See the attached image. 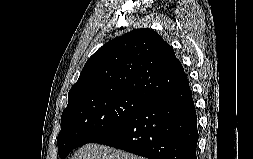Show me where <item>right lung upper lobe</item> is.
<instances>
[{
    "label": "right lung upper lobe",
    "mask_w": 253,
    "mask_h": 159,
    "mask_svg": "<svg viewBox=\"0 0 253 159\" xmlns=\"http://www.w3.org/2000/svg\"><path fill=\"white\" fill-rule=\"evenodd\" d=\"M188 81L172 47L151 29L109 41L86 62L68 103L87 96L130 93L154 99Z\"/></svg>",
    "instance_id": "1"
}]
</instances>
